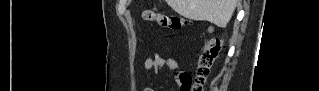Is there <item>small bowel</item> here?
Here are the masks:
<instances>
[{
  "label": "small bowel",
  "instance_id": "small-bowel-1",
  "mask_svg": "<svg viewBox=\"0 0 319 91\" xmlns=\"http://www.w3.org/2000/svg\"><path fill=\"white\" fill-rule=\"evenodd\" d=\"M168 68L176 70L179 67L178 61L173 57H165L162 54H157L154 58H148L145 61V68L148 70L157 68Z\"/></svg>",
  "mask_w": 319,
  "mask_h": 91
}]
</instances>
